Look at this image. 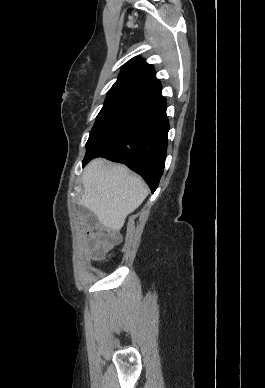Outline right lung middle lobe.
<instances>
[{
	"mask_svg": "<svg viewBox=\"0 0 265 388\" xmlns=\"http://www.w3.org/2000/svg\"><path fill=\"white\" fill-rule=\"evenodd\" d=\"M147 103L148 101L134 96L108 93L86 143V154L132 118Z\"/></svg>",
	"mask_w": 265,
	"mask_h": 388,
	"instance_id": "dd1d6c3e",
	"label": "right lung middle lobe"
}]
</instances>
